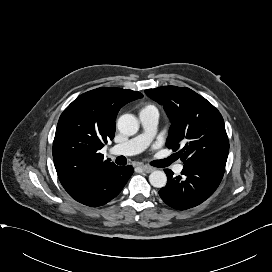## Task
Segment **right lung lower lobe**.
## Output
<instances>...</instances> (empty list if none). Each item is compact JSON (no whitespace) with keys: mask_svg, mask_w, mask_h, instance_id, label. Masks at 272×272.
<instances>
[{"mask_svg":"<svg viewBox=\"0 0 272 272\" xmlns=\"http://www.w3.org/2000/svg\"><path fill=\"white\" fill-rule=\"evenodd\" d=\"M133 173V167L115 164L99 170L90 179L67 191L76 201L91 207L106 204L123 189Z\"/></svg>","mask_w":272,"mask_h":272,"instance_id":"1","label":"right lung lower lobe"}]
</instances>
